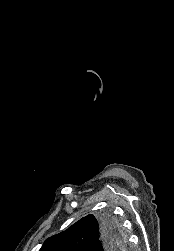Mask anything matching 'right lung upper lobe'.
<instances>
[{
    "label": "right lung upper lobe",
    "mask_w": 174,
    "mask_h": 251,
    "mask_svg": "<svg viewBox=\"0 0 174 251\" xmlns=\"http://www.w3.org/2000/svg\"><path fill=\"white\" fill-rule=\"evenodd\" d=\"M101 223L88 215L67 230L48 238L39 251H93L101 238ZM112 248H122V238ZM103 251V249H101Z\"/></svg>",
    "instance_id": "1"
}]
</instances>
